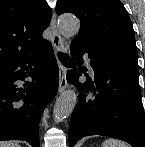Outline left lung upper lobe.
Here are the masks:
<instances>
[{
  "instance_id": "left-lung-upper-lobe-1",
  "label": "left lung upper lobe",
  "mask_w": 145,
  "mask_h": 147,
  "mask_svg": "<svg viewBox=\"0 0 145 147\" xmlns=\"http://www.w3.org/2000/svg\"><path fill=\"white\" fill-rule=\"evenodd\" d=\"M70 12L80 21L81 43L96 51H125L137 55L133 25L120 0H57L56 13Z\"/></svg>"
}]
</instances>
